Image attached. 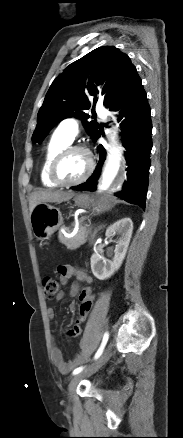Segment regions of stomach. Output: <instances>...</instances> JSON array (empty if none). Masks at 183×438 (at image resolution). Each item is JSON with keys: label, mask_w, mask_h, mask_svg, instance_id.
I'll return each mask as SVG.
<instances>
[{"label": "stomach", "mask_w": 183, "mask_h": 438, "mask_svg": "<svg viewBox=\"0 0 183 438\" xmlns=\"http://www.w3.org/2000/svg\"><path fill=\"white\" fill-rule=\"evenodd\" d=\"M91 199L86 194L74 197L75 205L87 207ZM63 217L59 208L48 203H40L30 213V224L35 237L39 240H48L51 235L62 225Z\"/></svg>", "instance_id": "stomach-1"}]
</instances>
